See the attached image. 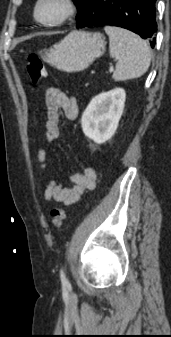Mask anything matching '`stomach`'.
Wrapping results in <instances>:
<instances>
[{
    "instance_id": "0dacf381",
    "label": "stomach",
    "mask_w": 171,
    "mask_h": 337,
    "mask_svg": "<svg viewBox=\"0 0 171 337\" xmlns=\"http://www.w3.org/2000/svg\"><path fill=\"white\" fill-rule=\"evenodd\" d=\"M105 45V37L100 33L73 31L47 50L43 58L58 70L79 72L103 55Z\"/></svg>"
}]
</instances>
